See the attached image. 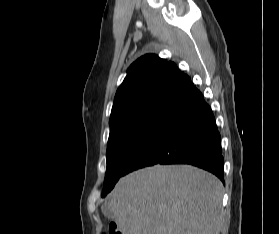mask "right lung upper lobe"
I'll list each match as a JSON object with an SVG mask.
<instances>
[{
  "mask_svg": "<svg viewBox=\"0 0 279 234\" xmlns=\"http://www.w3.org/2000/svg\"><path fill=\"white\" fill-rule=\"evenodd\" d=\"M193 87L173 62L155 54L144 55L129 67L116 92L110 119L149 106L171 107Z\"/></svg>",
  "mask_w": 279,
  "mask_h": 234,
  "instance_id": "cb5924a9",
  "label": "right lung upper lobe"
}]
</instances>
